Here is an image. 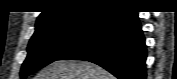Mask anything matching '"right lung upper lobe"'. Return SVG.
Wrapping results in <instances>:
<instances>
[{
  "label": "right lung upper lobe",
  "instance_id": "1",
  "mask_svg": "<svg viewBox=\"0 0 177 79\" xmlns=\"http://www.w3.org/2000/svg\"><path fill=\"white\" fill-rule=\"evenodd\" d=\"M48 10L43 11L37 18L36 28L63 20L81 18L93 14L103 15L105 12L125 6L124 1L105 0H57Z\"/></svg>",
  "mask_w": 177,
  "mask_h": 79
}]
</instances>
